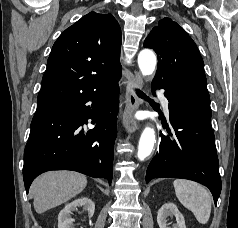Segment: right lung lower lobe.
I'll return each mask as SVG.
<instances>
[{
    "instance_id": "1",
    "label": "right lung lower lobe",
    "mask_w": 238,
    "mask_h": 228,
    "mask_svg": "<svg viewBox=\"0 0 238 228\" xmlns=\"http://www.w3.org/2000/svg\"><path fill=\"white\" fill-rule=\"evenodd\" d=\"M118 82L63 103L37 108L24 150L23 179L32 181L49 170H74L111 184L117 135ZM92 102V105H88ZM95 128L87 129L88 119Z\"/></svg>"
}]
</instances>
